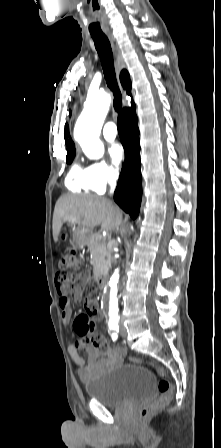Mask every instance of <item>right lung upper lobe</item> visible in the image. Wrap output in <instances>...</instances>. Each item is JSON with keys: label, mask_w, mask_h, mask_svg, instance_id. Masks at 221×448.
I'll list each match as a JSON object with an SVG mask.
<instances>
[{"label": "right lung upper lobe", "mask_w": 221, "mask_h": 448, "mask_svg": "<svg viewBox=\"0 0 221 448\" xmlns=\"http://www.w3.org/2000/svg\"><path fill=\"white\" fill-rule=\"evenodd\" d=\"M120 81L124 89L127 90V94L131 95V82H130V76L126 70H123L120 74ZM132 101V100H131ZM66 138V145H67V154L75 153V145L73 141L70 138L69 132H68V125H65V134Z\"/></svg>", "instance_id": "1"}]
</instances>
